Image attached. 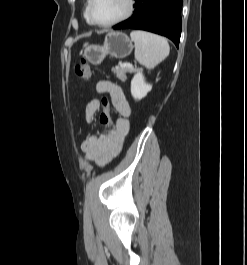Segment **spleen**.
Listing matches in <instances>:
<instances>
[{
  "label": "spleen",
  "mask_w": 247,
  "mask_h": 265,
  "mask_svg": "<svg viewBox=\"0 0 247 265\" xmlns=\"http://www.w3.org/2000/svg\"><path fill=\"white\" fill-rule=\"evenodd\" d=\"M130 36L136 60L148 69H153L169 55L170 47L164 37L141 30L132 31Z\"/></svg>",
  "instance_id": "1"
}]
</instances>
